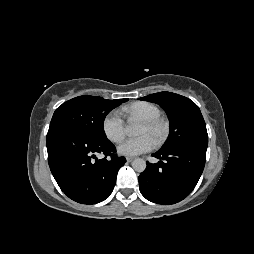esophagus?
<instances>
[{
	"label": "esophagus",
	"mask_w": 254,
	"mask_h": 254,
	"mask_svg": "<svg viewBox=\"0 0 254 254\" xmlns=\"http://www.w3.org/2000/svg\"><path fill=\"white\" fill-rule=\"evenodd\" d=\"M133 159H134L133 157H127L126 158L127 162H131V161H133Z\"/></svg>",
	"instance_id": "esophagus-1"
}]
</instances>
